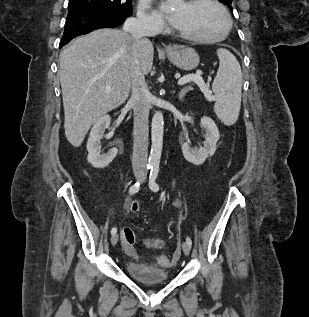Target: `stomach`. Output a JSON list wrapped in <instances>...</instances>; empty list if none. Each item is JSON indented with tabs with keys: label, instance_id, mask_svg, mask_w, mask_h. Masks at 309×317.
Here are the masks:
<instances>
[{
	"label": "stomach",
	"instance_id": "obj_1",
	"mask_svg": "<svg viewBox=\"0 0 309 317\" xmlns=\"http://www.w3.org/2000/svg\"><path fill=\"white\" fill-rule=\"evenodd\" d=\"M166 53L169 60L182 70L195 69L200 62L198 53L190 47H172Z\"/></svg>",
	"mask_w": 309,
	"mask_h": 317
}]
</instances>
